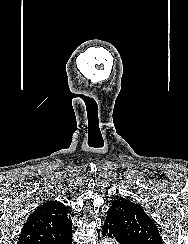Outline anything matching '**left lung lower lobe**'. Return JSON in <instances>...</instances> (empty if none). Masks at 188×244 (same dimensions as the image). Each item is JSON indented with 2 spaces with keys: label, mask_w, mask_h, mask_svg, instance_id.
<instances>
[{
  "label": "left lung lower lobe",
  "mask_w": 188,
  "mask_h": 244,
  "mask_svg": "<svg viewBox=\"0 0 188 244\" xmlns=\"http://www.w3.org/2000/svg\"><path fill=\"white\" fill-rule=\"evenodd\" d=\"M103 236L111 237L115 244H132L131 242H128L122 234L115 218H113L109 213H107L106 220L104 222Z\"/></svg>",
  "instance_id": "obj_1"
}]
</instances>
